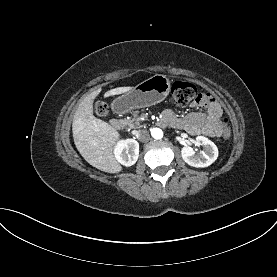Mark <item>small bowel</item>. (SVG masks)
Here are the masks:
<instances>
[{"instance_id":"obj_1","label":"small bowel","mask_w":277,"mask_h":277,"mask_svg":"<svg viewBox=\"0 0 277 277\" xmlns=\"http://www.w3.org/2000/svg\"><path fill=\"white\" fill-rule=\"evenodd\" d=\"M193 107H202L204 112H191L183 117L166 110L163 122L175 128L183 129L192 135L221 137L225 126L222 122L223 110L220 103L210 94H203L199 101L193 102Z\"/></svg>"}]
</instances>
